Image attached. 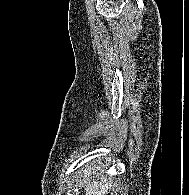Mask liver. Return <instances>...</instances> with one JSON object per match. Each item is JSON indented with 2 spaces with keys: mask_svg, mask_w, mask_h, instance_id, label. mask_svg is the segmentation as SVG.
Here are the masks:
<instances>
[{
  "mask_svg": "<svg viewBox=\"0 0 189 195\" xmlns=\"http://www.w3.org/2000/svg\"><path fill=\"white\" fill-rule=\"evenodd\" d=\"M84 177V189L86 195H105L107 193L108 187L110 186V182L107 179H102L101 181H99L98 179L94 180L96 174L91 170L85 171Z\"/></svg>",
  "mask_w": 189,
  "mask_h": 195,
  "instance_id": "1",
  "label": "liver"
}]
</instances>
